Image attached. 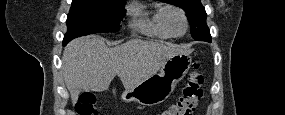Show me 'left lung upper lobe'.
Instances as JSON below:
<instances>
[{
  "label": "left lung upper lobe",
  "mask_w": 285,
  "mask_h": 115,
  "mask_svg": "<svg viewBox=\"0 0 285 115\" xmlns=\"http://www.w3.org/2000/svg\"><path fill=\"white\" fill-rule=\"evenodd\" d=\"M182 8L191 26V36L198 41L211 42V35L206 24V12L200 0H160Z\"/></svg>",
  "instance_id": "1"
}]
</instances>
